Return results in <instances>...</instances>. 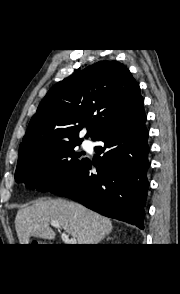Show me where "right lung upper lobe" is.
<instances>
[{"instance_id": "right-lung-upper-lobe-1", "label": "right lung upper lobe", "mask_w": 180, "mask_h": 294, "mask_svg": "<svg viewBox=\"0 0 180 294\" xmlns=\"http://www.w3.org/2000/svg\"><path fill=\"white\" fill-rule=\"evenodd\" d=\"M140 100L139 84L117 61H100L71 75L41 101L20 144L18 162L43 148L81 142L85 126V138L93 140Z\"/></svg>"}]
</instances>
